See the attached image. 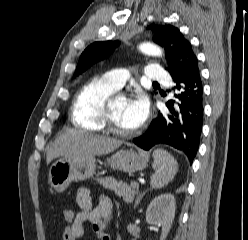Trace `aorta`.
Returning a JSON list of instances; mask_svg holds the SVG:
<instances>
[{"mask_svg": "<svg viewBox=\"0 0 248 240\" xmlns=\"http://www.w3.org/2000/svg\"><path fill=\"white\" fill-rule=\"evenodd\" d=\"M139 49L142 53L151 56H162L163 53L158 46L152 43H143L139 46Z\"/></svg>", "mask_w": 248, "mask_h": 240, "instance_id": "762f6f07", "label": "aorta"}]
</instances>
